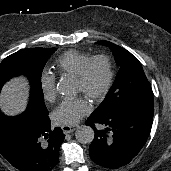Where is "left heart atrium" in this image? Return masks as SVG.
I'll return each instance as SVG.
<instances>
[{
  "label": "left heart atrium",
  "instance_id": "1",
  "mask_svg": "<svg viewBox=\"0 0 171 171\" xmlns=\"http://www.w3.org/2000/svg\"><path fill=\"white\" fill-rule=\"evenodd\" d=\"M91 106L83 97L64 99L53 111L52 119L57 124L73 125L89 113Z\"/></svg>",
  "mask_w": 171,
  "mask_h": 171
}]
</instances>
